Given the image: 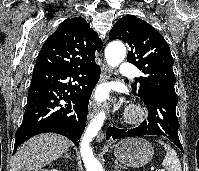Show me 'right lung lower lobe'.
<instances>
[{"label":"right lung lower lobe","mask_w":199,"mask_h":171,"mask_svg":"<svg viewBox=\"0 0 199 171\" xmlns=\"http://www.w3.org/2000/svg\"><path fill=\"white\" fill-rule=\"evenodd\" d=\"M99 77L95 61L68 69L34 70L22 125L15 134L14 153L27 139L45 132L66 136L78 146Z\"/></svg>","instance_id":"obj_1"}]
</instances>
